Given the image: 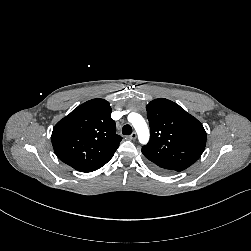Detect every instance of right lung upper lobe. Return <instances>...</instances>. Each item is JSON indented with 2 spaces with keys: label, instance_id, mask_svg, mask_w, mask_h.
Segmentation results:
<instances>
[{
  "label": "right lung upper lobe",
  "instance_id": "obj_1",
  "mask_svg": "<svg viewBox=\"0 0 251 251\" xmlns=\"http://www.w3.org/2000/svg\"><path fill=\"white\" fill-rule=\"evenodd\" d=\"M51 140L61 161L80 172H92L112 158L122 137L116 134L109 102L92 99L60 120Z\"/></svg>",
  "mask_w": 251,
  "mask_h": 251
}]
</instances>
